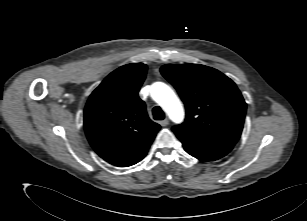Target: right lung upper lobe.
<instances>
[{
  "label": "right lung upper lobe",
  "instance_id": "1",
  "mask_svg": "<svg viewBox=\"0 0 307 221\" xmlns=\"http://www.w3.org/2000/svg\"><path fill=\"white\" fill-rule=\"evenodd\" d=\"M146 72L142 63L116 69L93 91L85 106L87 139L101 158L115 166L137 163L160 129L138 97Z\"/></svg>",
  "mask_w": 307,
  "mask_h": 221
}]
</instances>
